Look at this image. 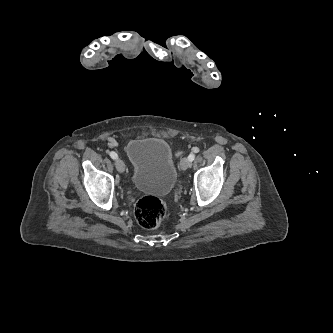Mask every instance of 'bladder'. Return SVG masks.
Here are the masks:
<instances>
[{
    "instance_id": "bladder-1",
    "label": "bladder",
    "mask_w": 333,
    "mask_h": 333,
    "mask_svg": "<svg viewBox=\"0 0 333 333\" xmlns=\"http://www.w3.org/2000/svg\"><path fill=\"white\" fill-rule=\"evenodd\" d=\"M132 165V182L140 191L170 192L177 182V169L169 144L161 138H135L126 145Z\"/></svg>"
}]
</instances>
